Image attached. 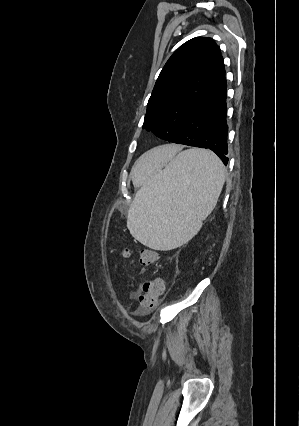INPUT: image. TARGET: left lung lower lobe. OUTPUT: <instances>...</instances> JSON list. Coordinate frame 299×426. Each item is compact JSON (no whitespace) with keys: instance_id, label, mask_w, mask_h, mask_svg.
I'll list each match as a JSON object with an SVG mask.
<instances>
[{"instance_id":"left-lung-lower-lobe-1","label":"left lung lower lobe","mask_w":299,"mask_h":426,"mask_svg":"<svg viewBox=\"0 0 299 426\" xmlns=\"http://www.w3.org/2000/svg\"><path fill=\"white\" fill-rule=\"evenodd\" d=\"M226 80L220 88L189 117L171 142L209 148L226 165L228 158L226 124Z\"/></svg>"}]
</instances>
